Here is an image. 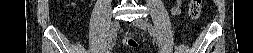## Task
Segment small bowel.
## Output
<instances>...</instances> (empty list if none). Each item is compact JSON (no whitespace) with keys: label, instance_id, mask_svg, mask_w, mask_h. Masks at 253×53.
Segmentation results:
<instances>
[{"label":"small bowel","instance_id":"c3829d8e","mask_svg":"<svg viewBox=\"0 0 253 53\" xmlns=\"http://www.w3.org/2000/svg\"><path fill=\"white\" fill-rule=\"evenodd\" d=\"M180 4L177 3L176 5H174L173 7H171L170 11L173 15H177L180 12Z\"/></svg>","mask_w":253,"mask_h":53}]
</instances>
